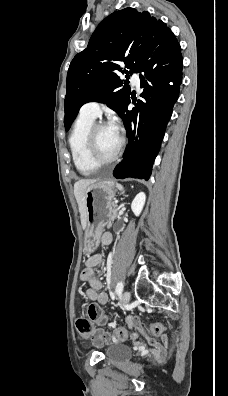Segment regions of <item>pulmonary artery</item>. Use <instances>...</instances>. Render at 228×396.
I'll use <instances>...</instances> for the list:
<instances>
[{"label":"pulmonary artery","mask_w":228,"mask_h":396,"mask_svg":"<svg viewBox=\"0 0 228 396\" xmlns=\"http://www.w3.org/2000/svg\"><path fill=\"white\" fill-rule=\"evenodd\" d=\"M131 83L138 90L140 89V78L137 73H133L131 76ZM100 105L98 102L92 101L84 104L80 110V113L85 116L96 118L100 114Z\"/></svg>","instance_id":"obj_1"}]
</instances>
